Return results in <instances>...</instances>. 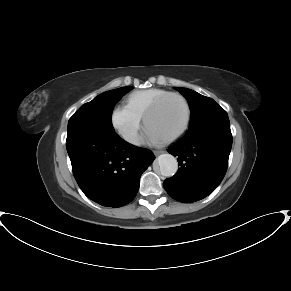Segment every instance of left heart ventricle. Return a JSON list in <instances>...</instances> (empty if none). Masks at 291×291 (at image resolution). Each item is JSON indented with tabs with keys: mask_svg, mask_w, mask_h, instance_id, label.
<instances>
[{
	"mask_svg": "<svg viewBox=\"0 0 291 291\" xmlns=\"http://www.w3.org/2000/svg\"><path fill=\"white\" fill-rule=\"evenodd\" d=\"M185 107L176 97L168 98L148 120L147 126L166 138L176 132L184 123Z\"/></svg>",
	"mask_w": 291,
	"mask_h": 291,
	"instance_id": "1",
	"label": "left heart ventricle"
}]
</instances>
